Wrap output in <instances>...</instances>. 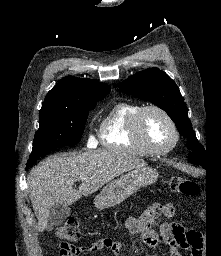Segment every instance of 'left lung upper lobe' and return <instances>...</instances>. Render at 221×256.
<instances>
[{"mask_svg": "<svg viewBox=\"0 0 221 256\" xmlns=\"http://www.w3.org/2000/svg\"><path fill=\"white\" fill-rule=\"evenodd\" d=\"M119 89L125 94L148 100L166 111L180 134L187 139V147L191 150L188 160L205 167L206 151L193 131L184 98L175 82L165 72L155 67L143 70L120 83Z\"/></svg>", "mask_w": 221, "mask_h": 256, "instance_id": "left-lung-upper-lobe-1", "label": "left lung upper lobe"}]
</instances>
